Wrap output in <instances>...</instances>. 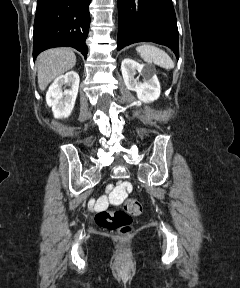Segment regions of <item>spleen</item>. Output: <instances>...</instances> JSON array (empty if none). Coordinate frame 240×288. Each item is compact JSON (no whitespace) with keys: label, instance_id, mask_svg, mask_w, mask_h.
Returning <instances> with one entry per match:
<instances>
[{"label":"spleen","instance_id":"obj_1","mask_svg":"<svg viewBox=\"0 0 240 288\" xmlns=\"http://www.w3.org/2000/svg\"><path fill=\"white\" fill-rule=\"evenodd\" d=\"M136 51L139 53L141 58L147 63H155L156 65L163 67L165 69H172L174 63L169 55L162 49L150 45L143 44L136 48Z\"/></svg>","mask_w":240,"mask_h":288}]
</instances>
